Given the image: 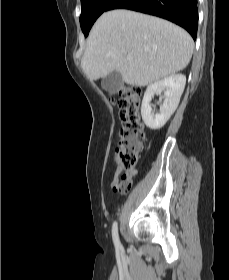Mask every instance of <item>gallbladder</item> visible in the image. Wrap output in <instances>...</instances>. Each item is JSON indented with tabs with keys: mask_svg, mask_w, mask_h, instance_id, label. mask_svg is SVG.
I'll return each instance as SVG.
<instances>
[{
	"mask_svg": "<svg viewBox=\"0 0 229 280\" xmlns=\"http://www.w3.org/2000/svg\"><path fill=\"white\" fill-rule=\"evenodd\" d=\"M123 86V79L119 72L113 71L102 79L101 87L109 94H116Z\"/></svg>",
	"mask_w": 229,
	"mask_h": 280,
	"instance_id": "1",
	"label": "gallbladder"
}]
</instances>
